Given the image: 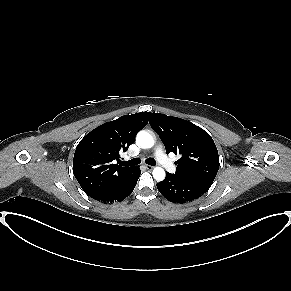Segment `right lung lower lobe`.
<instances>
[{
  "mask_svg": "<svg viewBox=\"0 0 291 291\" xmlns=\"http://www.w3.org/2000/svg\"><path fill=\"white\" fill-rule=\"evenodd\" d=\"M140 169L136 166L132 172L126 176L118 185H116L110 191L94 198L102 203L109 204L114 202H119L128 197L137 183L140 177Z\"/></svg>",
  "mask_w": 291,
  "mask_h": 291,
  "instance_id": "obj_1",
  "label": "right lung lower lobe"
}]
</instances>
